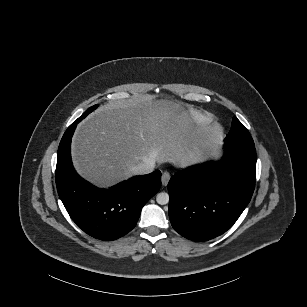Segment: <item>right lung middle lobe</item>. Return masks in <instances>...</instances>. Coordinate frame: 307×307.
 <instances>
[{
  "label": "right lung middle lobe",
  "instance_id": "1",
  "mask_svg": "<svg viewBox=\"0 0 307 307\" xmlns=\"http://www.w3.org/2000/svg\"><path fill=\"white\" fill-rule=\"evenodd\" d=\"M98 107V105H94L92 107H90L89 109H87L85 112H84V117H86L89 113H91L93 110H95L96 108Z\"/></svg>",
  "mask_w": 307,
  "mask_h": 307
}]
</instances>
